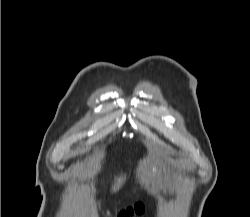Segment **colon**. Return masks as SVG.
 I'll list each match as a JSON object with an SVG mask.
<instances>
[{"instance_id": "colon-1", "label": "colon", "mask_w": 250, "mask_h": 217, "mask_svg": "<svg viewBox=\"0 0 250 217\" xmlns=\"http://www.w3.org/2000/svg\"><path fill=\"white\" fill-rule=\"evenodd\" d=\"M143 207L140 204H137L132 207H128L122 210L117 217H133L135 214H138L142 211Z\"/></svg>"}]
</instances>
